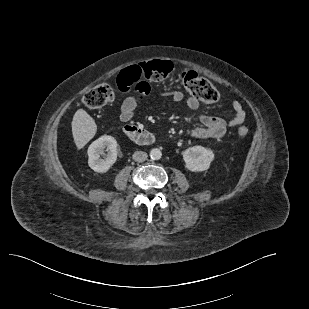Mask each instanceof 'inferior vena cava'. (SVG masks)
<instances>
[{"label": "inferior vena cava", "instance_id": "602c4592", "mask_svg": "<svg viewBox=\"0 0 309 309\" xmlns=\"http://www.w3.org/2000/svg\"><path fill=\"white\" fill-rule=\"evenodd\" d=\"M147 153L144 151H136L133 154V160L136 162H144L145 160H147Z\"/></svg>", "mask_w": 309, "mask_h": 309}]
</instances>
